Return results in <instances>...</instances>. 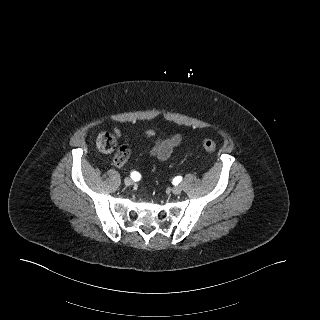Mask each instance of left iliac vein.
Wrapping results in <instances>:
<instances>
[{
    "label": "left iliac vein",
    "mask_w": 320,
    "mask_h": 320,
    "mask_svg": "<svg viewBox=\"0 0 320 320\" xmlns=\"http://www.w3.org/2000/svg\"><path fill=\"white\" fill-rule=\"evenodd\" d=\"M182 192V186L177 185L172 188V193L178 195Z\"/></svg>",
    "instance_id": "4c4485c4"
}]
</instances>
